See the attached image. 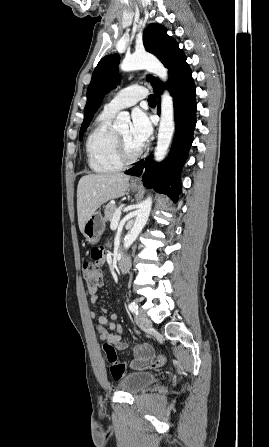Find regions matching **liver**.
I'll return each mask as SVG.
<instances>
[{
  "mask_svg": "<svg viewBox=\"0 0 269 447\" xmlns=\"http://www.w3.org/2000/svg\"><path fill=\"white\" fill-rule=\"evenodd\" d=\"M128 182L129 176L124 174H90L79 180L77 214L80 231L102 204L125 196Z\"/></svg>",
  "mask_w": 269,
  "mask_h": 447,
  "instance_id": "liver-1",
  "label": "liver"
}]
</instances>
